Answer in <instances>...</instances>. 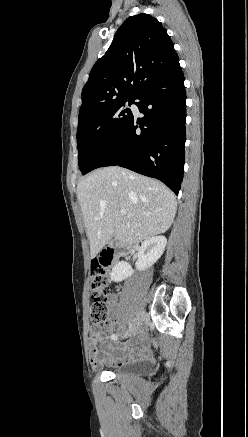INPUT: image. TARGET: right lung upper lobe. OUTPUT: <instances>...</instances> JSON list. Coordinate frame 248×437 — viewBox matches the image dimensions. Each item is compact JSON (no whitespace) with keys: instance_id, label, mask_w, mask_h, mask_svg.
Instances as JSON below:
<instances>
[{"instance_id":"1","label":"right lung upper lobe","mask_w":248,"mask_h":437,"mask_svg":"<svg viewBox=\"0 0 248 437\" xmlns=\"http://www.w3.org/2000/svg\"><path fill=\"white\" fill-rule=\"evenodd\" d=\"M175 55L157 19L144 13L127 18L83 87L79 124L121 100L134 98Z\"/></svg>"}]
</instances>
